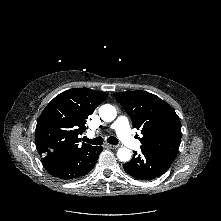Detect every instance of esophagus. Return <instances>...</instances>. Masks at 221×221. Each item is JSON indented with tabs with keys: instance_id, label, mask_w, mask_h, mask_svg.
<instances>
[{
	"instance_id": "obj_1",
	"label": "esophagus",
	"mask_w": 221,
	"mask_h": 221,
	"mask_svg": "<svg viewBox=\"0 0 221 221\" xmlns=\"http://www.w3.org/2000/svg\"><path fill=\"white\" fill-rule=\"evenodd\" d=\"M106 147L110 149H117L119 146L118 145H112V144H106Z\"/></svg>"
}]
</instances>
